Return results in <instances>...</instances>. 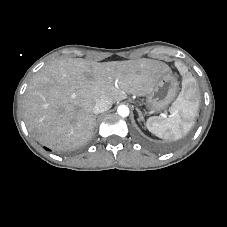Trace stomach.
I'll use <instances>...</instances> for the list:
<instances>
[{
    "mask_svg": "<svg viewBox=\"0 0 227 227\" xmlns=\"http://www.w3.org/2000/svg\"><path fill=\"white\" fill-rule=\"evenodd\" d=\"M179 91L177 79L170 73L165 74L148 93L146 106L150 111L165 109L176 98Z\"/></svg>",
    "mask_w": 227,
    "mask_h": 227,
    "instance_id": "1",
    "label": "stomach"
}]
</instances>
